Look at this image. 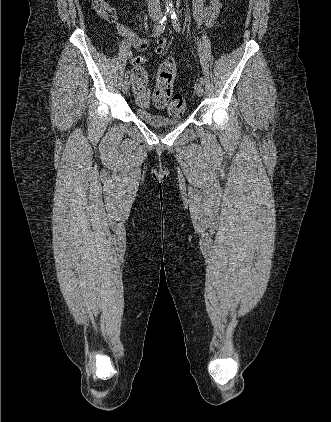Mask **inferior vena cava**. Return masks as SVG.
I'll return each mask as SVG.
<instances>
[{
	"mask_svg": "<svg viewBox=\"0 0 331 422\" xmlns=\"http://www.w3.org/2000/svg\"><path fill=\"white\" fill-rule=\"evenodd\" d=\"M148 1V8L149 10H156L160 9V0H147Z\"/></svg>",
	"mask_w": 331,
	"mask_h": 422,
	"instance_id": "1",
	"label": "inferior vena cava"
}]
</instances>
